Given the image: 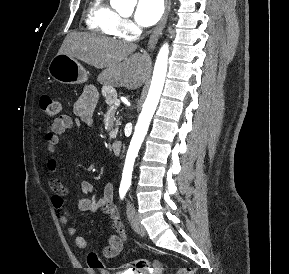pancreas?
<instances>
[{"mask_svg": "<svg viewBox=\"0 0 289 274\" xmlns=\"http://www.w3.org/2000/svg\"><path fill=\"white\" fill-rule=\"evenodd\" d=\"M102 94L105 97V102L109 105L110 108L116 109L115 101L117 100V92L114 88L108 86L102 89ZM118 125V121H116V126ZM117 128L115 130L110 131L109 136L110 139H113L117 136Z\"/></svg>", "mask_w": 289, "mask_h": 274, "instance_id": "cf45deb5", "label": "pancreas"}]
</instances>
